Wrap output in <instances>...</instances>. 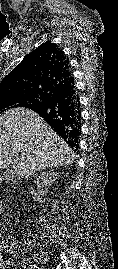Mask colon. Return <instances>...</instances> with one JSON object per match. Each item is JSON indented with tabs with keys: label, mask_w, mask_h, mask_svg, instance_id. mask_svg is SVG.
<instances>
[{
	"label": "colon",
	"mask_w": 118,
	"mask_h": 269,
	"mask_svg": "<svg viewBox=\"0 0 118 269\" xmlns=\"http://www.w3.org/2000/svg\"><path fill=\"white\" fill-rule=\"evenodd\" d=\"M2 208V200L0 199V210ZM14 241L11 239H4L0 242V262L6 263L12 259V250Z\"/></svg>",
	"instance_id": "obj_1"
}]
</instances>
